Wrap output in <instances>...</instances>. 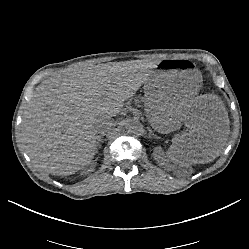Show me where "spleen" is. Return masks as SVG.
Segmentation results:
<instances>
[{
	"label": "spleen",
	"mask_w": 249,
	"mask_h": 249,
	"mask_svg": "<svg viewBox=\"0 0 249 249\" xmlns=\"http://www.w3.org/2000/svg\"><path fill=\"white\" fill-rule=\"evenodd\" d=\"M169 152H173V149H172V150H169L168 153H169ZM169 158H171V156H169ZM172 159H175V158H172Z\"/></svg>",
	"instance_id": "1"
}]
</instances>
